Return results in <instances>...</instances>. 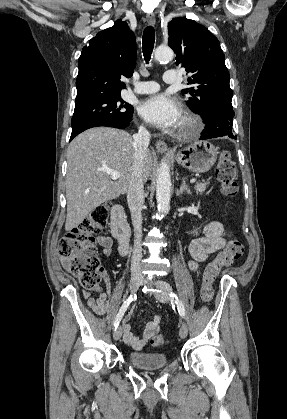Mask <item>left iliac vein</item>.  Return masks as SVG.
<instances>
[{"mask_svg": "<svg viewBox=\"0 0 287 419\" xmlns=\"http://www.w3.org/2000/svg\"><path fill=\"white\" fill-rule=\"evenodd\" d=\"M143 283L146 284L147 281L144 280ZM154 284L159 289V291L155 292V297L161 303L169 302L170 298L168 296V293L171 291L170 285L167 282L161 281V280L155 281ZM187 334H188V328H187L186 323L183 322L179 330V335L181 338H185Z\"/></svg>", "mask_w": 287, "mask_h": 419, "instance_id": "obj_1", "label": "left iliac vein"}]
</instances>
